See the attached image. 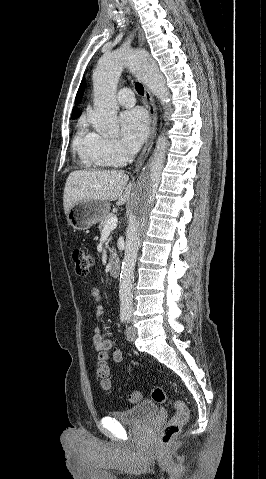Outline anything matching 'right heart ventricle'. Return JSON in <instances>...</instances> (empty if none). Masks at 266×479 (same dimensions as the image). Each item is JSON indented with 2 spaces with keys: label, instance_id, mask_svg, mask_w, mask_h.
I'll return each instance as SVG.
<instances>
[{
  "label": "right heart ventricle",
  "instance_id": "obj_1",
  "mask_svg": "<svg viewBox=\"0 0 266 479\" xmlns=\"http://www.w3.org/2000/svg\"><path fill=\"white\" fill-rule=\"evenodd\" d=\"M98 144L99 136L88 132L84 128V122H81L73 141V149L85 167L106 169L111 166L101 155Z\"/></svg>",
  "mask_w": 266,
  "mask_h": 479
}]
</instances>
